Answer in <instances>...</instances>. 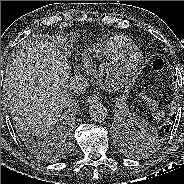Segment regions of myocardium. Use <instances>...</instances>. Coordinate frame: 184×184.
<instances>
[{"label": "myocardium", "instance_id": "f54148a6", "mask_svg": "<svg viewBox=\"0 0 184 184\" xmlns=\"http://www.w3.org/2000/svg\"><path fill=\"white\" fill-rule=\"evenodd\" d=\"M143 55L138 50H129L114 59V63L110 69V77L117 84L127 83L137 72Z\"/></svg>", "mask_w": 184, "mask_h": 184}]
</instances>
